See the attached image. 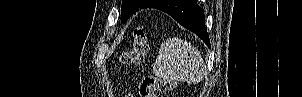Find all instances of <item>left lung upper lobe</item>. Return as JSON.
<instances>
[{"mask_svg":"<svg viewBox=\"0 0 302 97\" xmlns=\"http://www.w3.org/2000/svg\"><path fill=\"white\" fill-rule=\"evenodd\" d=\"M152 0H123L121 9V21L125 22L132 14L139 9L146 8Z\"/></svg>","mask_w":302,"mask_h":97,"instance_id":"1","label":"left lung upper lobe"}]
</instances>
